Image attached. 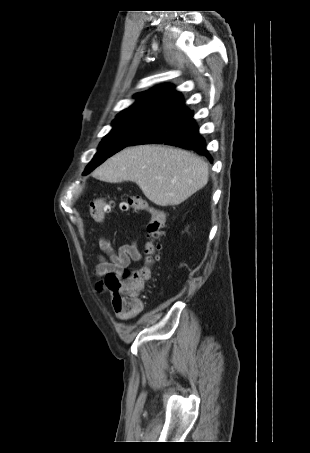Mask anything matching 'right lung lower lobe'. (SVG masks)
<instances>
[{
	"mask_svg": "<svg viewBox=\"0 0 310 453\" xmlns=\"http://www.w3.org/2000/svg\"><path fill=\"white\" fill-rule=\"evenodd\" d=\"M147 143H164L193 150L212 162L205 140L193 118V112L186 107L184 100L159 116L127 146Z\"/></svg>",
	"mask_w": 310,
	"mask_h": 453,
	"instance_id": "1",
	"label": "right lung lower lobe"
}]
</instances>
